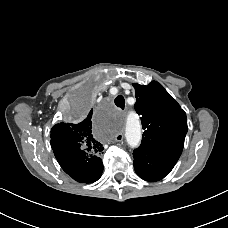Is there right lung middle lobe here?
Here are the masks:
<instances>
[{"instance_id":"dd1d6c3e","label":"right lung middle lobe","mask_w":228,"mask_h":228,"mask_svg":"<svg viewBox=\"0 0 228 228\" xmlns=\"http://www.w3.org/2000/svg\"><path fill=\"white\" fill-rule=\"evenodd\" d=\"M92 103L93 98L91 93H81L76 99L75 105L73 107V114L78 117L83 116L89 110Z\"/></svg>"}]
</instances>
